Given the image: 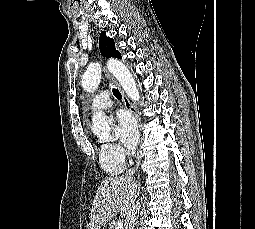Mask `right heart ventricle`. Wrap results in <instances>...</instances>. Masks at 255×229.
<instances>
[{
	"label": "right heart ventricle",
	"mask_w": 255,
	"mask_h": 229,
	"mask_svg": "<svg viewBox=\"0 0 255 229\" xmlns=\"http://www.w3.org/2000/svg\"><path fill=\"white\" fill-rule=\"evenodd\" d=\"M98 159L101 167L110 174H119L121 173L125 165L122 162H116L110 159L107 154L105 145H101L99 148Z\"/></svg>",
	"instance_id": "right-heart-ventricle-1"
}]
</instances>
